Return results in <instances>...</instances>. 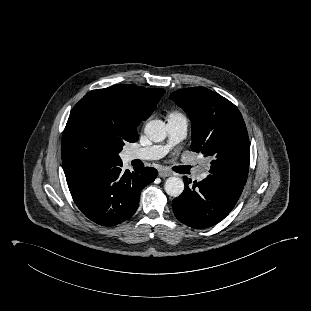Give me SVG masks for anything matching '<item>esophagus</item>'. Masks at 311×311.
<instances>
[{
  "mask_svg": "<svg viewBox=\"0 0 311 311\" xmlns=\"http://www.w3.org/2000/svg\"><path fill=\"white\" fill-rule=\"evenodd\" d=\"M171 173L165 169L159 171V176L162 178L169 177Z\"/></svg>",
  "mask_w": 311,
  "mask_h": 311,
  "instance_id": "1",
  "label": "esophagus"
}]
</instances>
